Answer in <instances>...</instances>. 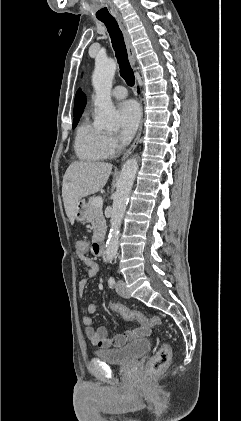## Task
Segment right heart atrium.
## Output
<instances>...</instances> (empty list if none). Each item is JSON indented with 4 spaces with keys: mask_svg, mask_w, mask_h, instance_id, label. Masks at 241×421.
Here are the masks:
<instances>
[{
    "mask_svg": "<svg viewBox=\"0 0 241 421\" xmlns=\"http://www.w3.org/2000/svg\"><path fill=\"white\" fill-rule=\"evenodd\" d=\"M103 143L109 156L114 155L120 148L119 139L113 134H104Z\"/></svg>",
    "mask_w": 241,
    "mask_h": 421,
    "instance_id": "1",
    "label": "right heart atrium"
}]
</instances>
